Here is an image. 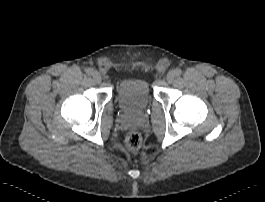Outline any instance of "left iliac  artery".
I'll use <instances>...</instances> for the list:
<instances>
[{"instance_id":"44dca946","label":"left iliac artery","mask_w":265,"mask_h":202,"mask_svg":"<svg viewBox=\"0 0 265 202\" xmlns=\"http://www.w3.org/2000/svg\"><path fill=\"white\" fill-rule=\"evenodd\" d=\"M174 71H175L177 76L181 75V73H182V70L180 68H176Z\"/></svg>"}]
</instances>
